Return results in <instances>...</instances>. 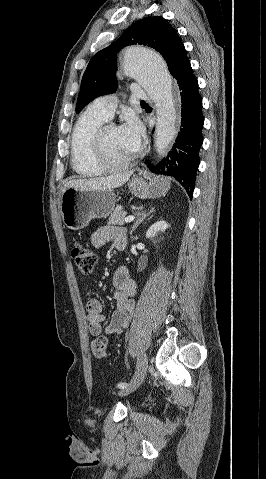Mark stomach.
Here are the masks:
<instances>
[{
	"label": "stomach",
	"mask_w": 266,
	"mask_h": 479,
	"mask_svg": "<svg viewBox=\"0 0 266 479\" xmlns=\"http://www.w3.org/2000/svg\"><path fill=\"white\" fill-rule=\"evenodd\" d=\"M128 187L139 198H157L167 193L170 183L161 177L136 176L129 182ZM115 203V194L112 190L68 188L63 191L61 196L62 221L69 229H83L88 226L91 219L106 218L112 214Z\"/></svg>",
	"instance_id": "0dacf381"
}]
</instances>
